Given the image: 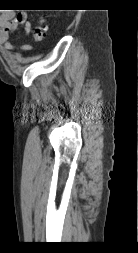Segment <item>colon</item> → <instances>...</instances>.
<instances>
[{"mask_svg":"<svg viewBox=\"0 0 138 253\" xmlns=\"http://www.w3.org/2000/svg\"><path fill=\"white\" fill-rule=\"evenodd\" d=\"M32 35L35 42L40 43L44 40L46 35V26L44 21H40L32 30Z\"/></svg>","mask_w":138,"mask_h":253,"instance_id":"obj_1","label":"colon"}]
</instances>
